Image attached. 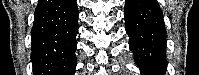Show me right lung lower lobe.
Instances as JSON below:
<instances>
[{
	"mask_svg": "<svg viewBox=\"0 0 199 75\" xmlns=\"http://www.w3.org/2000/svg\"><path fill=\"white\" fill-rule=\"evenodd\" d=\"M76 0H39L31 30L33 75H73L76 67Z\"/></svg>",
	"mask_w": 199,
	"mask_h": 75,
	"instance_id": "right-lung-lower-lobe-1",
	"label": "right lung lower lobe"
}]
</instances>
